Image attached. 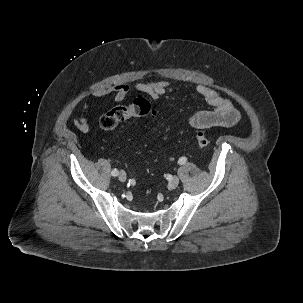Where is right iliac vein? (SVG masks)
I'll list each match as a JSON object with an SVG mask.
<instances>
[{
  "mask_svg": "<svg viewBox=\"0 0 303 303\" xmlns=\"http://www.w3.org/2000/svg\"><path fill=\"white\" fill-rule=\"evenodd\" d=\"M118 178L121 182H125L127 179L126 173L124 171H120L118 174Z\"/></svg>",
  "mask_w": 303,
  "mask_h": 303,
  "instance_id": "1",
  "label": "right iliac vein"
}]
</instances>
